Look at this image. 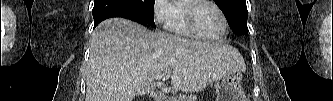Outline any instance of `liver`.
<instances>
[{"label":"liver","instance_id":"1","mask_svg":"<svg viewBox=\"0 0 333 101\" xmlns=\"http://www.w3.org/2000/svg\"><path fill=\"white\" fill-rule=\"evenodd\" d=\"M231 46L185 39L124 18L102 22L91 37L85 101H132L156 88V75L181 91L199 92L222 76L244 71Z\"/></svg>","mask_w":333,"mask_h":101}]
</instances>
